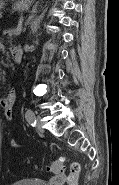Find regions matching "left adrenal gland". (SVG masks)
I'll return each mask as SVG.
<instances>
[{"label": "left adrenal gland", "mask_w": 119, "mask_h": 185, "mask_svg": "<svg viewBox=\"0 0 119 185\" xmlns=\"http://www.w3.org/2000/svg\"><path fill=\"white\" fill-rule=\"evenodd\" d=\"M44 13L40 14L39 16L35 17V19L32 21L31 28L33 33L37 31L40 21L43 18Z\"/></svg>", "instance_id": "left-adrenal-gland-1"}]
</instances>
